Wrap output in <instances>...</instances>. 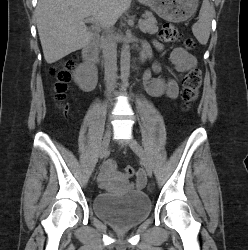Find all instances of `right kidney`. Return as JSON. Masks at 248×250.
I'll use <instances>...</instances> for the list:
<instances>
[{
    "label": "right kidney",
    "instance_id": "obj_1",
    "mask_svg": "<svg viewBox=\"0 0 248 250\" xmlns=\"http://www.w3.org/2000/svg\"><path fill=\"white\" fill-rule=\"evenodd\" d=\"M73 79L81 90L91 92L98 82L97 69L92 65L80 64L73 71Z\"/></svg>",
    "mask_w": 248,
    "mask_h": 250
}]
</instances>
